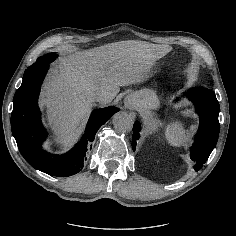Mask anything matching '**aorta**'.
<instances>
[{
  "label": "aorta",
  "mask_w": 236,
  "mask_h": 236,
  "mask_svg": "<svg viewBox=\"0 0 236 236\" xmlns=\"http://www.w3.org/2000/svg\"><path fill=\"white\" fill-rule=\"evenodd\" d=\"M114 128L121 132H129L134 125V118L127 112H118L113 116Z\"/></svg>",
  "instance_id": "obj_1"
}]
</instances>
